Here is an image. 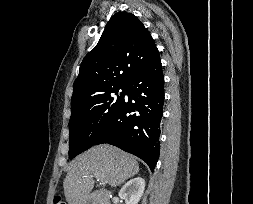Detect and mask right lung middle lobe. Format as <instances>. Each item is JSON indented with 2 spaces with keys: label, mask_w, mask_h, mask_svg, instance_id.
Masks as SVG:
<instances>
[{
  "label": "right lung middle lobe",
  "mask_w": 253,
  "mask_h": 204,
  "mask_svg": "<svg viewBox=\"0 0 253 204\" xmlns=\"http://www.w3.org/2000/svg\"><path fill=\"white\" fill-rule=\"evenodd\" d=\"M116 99L111 93H118ZM124 87L112 89L96 98L71 108L69 121L70 142L69 156L74 158L89 149L96 142L102 131L108 126L124 100Z\"/></svg>",
  "instance_id": "right-lung-middle-lobe-1"
}]
</instances>
